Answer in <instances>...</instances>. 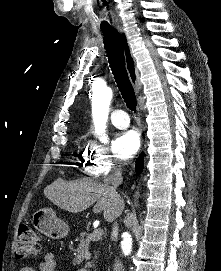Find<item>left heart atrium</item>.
I'll return each instance as SVG.
<instances>
[{
	"instance_id": "39dd6f15",
	"label": "left heart atrium",
	"mask_w": 221,
	"mask_h": 271,
	"mask_svg": "<svg viewBox=\"0 0 221 271\" xmlns=\"http://www.w3.org/2000/svg\"><path fill=\"white\" fill-rule=\"evenodd\" d=\"M171 94H177V92H171ZM139 139L140 135L135 130L121 133L117 138V142H114V145H112L115 157H130V155L136 152Z\"/></svg>"
}]
</instances>
